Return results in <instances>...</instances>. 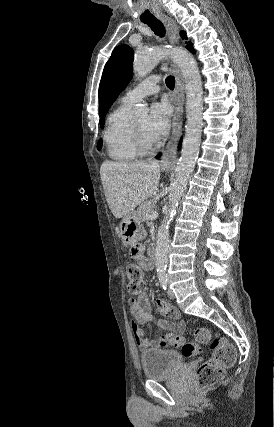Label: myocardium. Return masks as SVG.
<instances>
[{"label": "myocardium", "mask_w": 274, "mask_h": 427, "mask_svg": "<svg viewBox=\"0 0 274 427\" xmlns=\"http://www.w3.org/2000/svg\"><path fill=\"white\" fill-rule=\"evenodd\" d=\"M132 143L135 151L139 156H148L154 153L159 147L160 143H148L141 135L135 123L132 124Z\"/></svg>", "instance_id": "f54148a6"}]
</instances>
